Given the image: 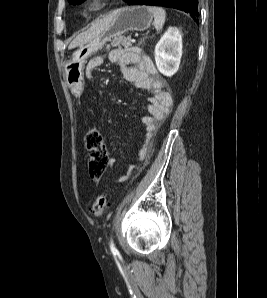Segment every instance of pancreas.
Segmentation results:
<instances>
[{
  "label": "pancreas",
  "instance_id": "cf45deb5",
  "mask_svg": "<svg viewBox=\"0 0 267 298\" xmlns=\"http://www.w3.org/2000/svg\"><path fill=\"white\" fill-rule=\"evenodd\" d=\"M112 46H118V47H125L128 48L131 46V38L130 37H123V36H118L115 37L111 43Z\"/></svg>",
  "mask_w": 267,
  "mask_h": 298
}]
</instances>
